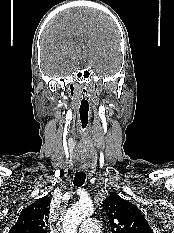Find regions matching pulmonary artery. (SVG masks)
<instances>
[{"label":"pulmonary artery","mask_w":174,"mask_h":233,"mask_svg":"<svg viewBox=\"0 0 174 233\" xmlns=\"http://www.w3.org/2000/svg\"><path fill=\"white\" fill-rule=\"evenodd\" d=\"M80 233H99L100 224L95 219L85 220L79 227Z\"/></svg>","instance_id":"1"}]
</instances>
